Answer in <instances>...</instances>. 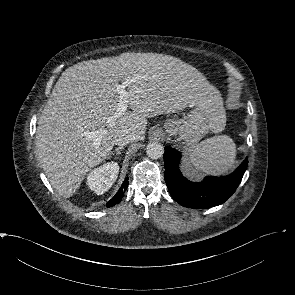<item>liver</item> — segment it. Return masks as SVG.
Returning <instances> with one entry per match:
<instances>
[{
	"instance_id": "liver-1",
	"label": "liver",
	"mask_w": 295,
	"mask_h": 295,
	"mask_svg": "<svg viewBox=\"0 0 295 295\" xmlns=\"http://www.w3.org/2000/svg\"><path fill=\"white\" fill-rule=\"evenodd\" d=\"M132 111L110 125L120 94ZM210 87L193 66L170 55L122 53L67 68L55 84L38 120L37 153L53 188L71 197L86 174L111 152L115 139L132 132L145 137L147 118L185 109ZM105 129L98 144L84 132Z\"/></svg>"
}]
</instances>
